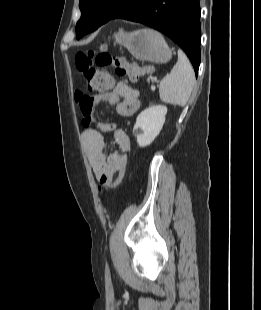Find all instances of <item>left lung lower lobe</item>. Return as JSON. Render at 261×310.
Masks as SVG:
<instances>
[{"instance_id": "1", "label": "left lung lower lobe", "mask_w": 261, "mask_h": 310, "mask_svg": "<svg viewBox=\"0 0 261 310\" xmlns=\"http://www.w3.org/2000/svg\"><path fill=\"white\" fill-rule=\"evenodd\" d=\"M200 13L199 0H132L119 18L145 24L170 37L188 55L197 75L201 57ZM101 25L93 24L87 33Z\"/></svg>"}]
</instances>
